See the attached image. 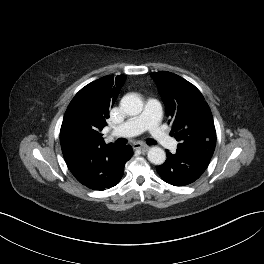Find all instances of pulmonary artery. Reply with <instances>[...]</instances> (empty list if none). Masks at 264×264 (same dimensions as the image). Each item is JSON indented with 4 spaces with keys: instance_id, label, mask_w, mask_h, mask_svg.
Masks as SVG:
<instances>
[{
    "instance_id": "1",
    "label": "pulmonary artery",
    "mask_w": 264,
    "mask_h": 264,
    "mask_svg": "<svg viewBox=\"0 0 264 264\" xmlns=\"http://www.w3.org/2000/svg\"><path fill=\"white\" fill-rule=\"evenodd\" d=\"M161 113L162 107L160 102L157 99H148L143 113L116 127L113 134L121 137H131L148 130L151 137L161 146L170 148L174 145L175 141L161 127Z\"/></svg>"
}]
</instances>
